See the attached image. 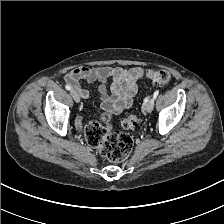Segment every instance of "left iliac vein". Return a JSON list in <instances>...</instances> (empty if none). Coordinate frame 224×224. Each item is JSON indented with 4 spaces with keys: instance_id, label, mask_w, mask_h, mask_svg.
Returning <instances> with one entry per match:
<instances>
[{
    "instance_id": "obj_1",
    "label": "left iliac vein",
    "mask_w": 224,
    "mask_h": 224,
    "mask_svg": "<svg viewBox=\"0 0 224 224\" xmlns=\"http://www.w3.org/2000/svg\"><path fill=\"white\" fill-rule=\"evenodd\" d=\"M154 107V99L150 98L144 105V111L150 113Z\"/></svg>"
}]
</instances>
